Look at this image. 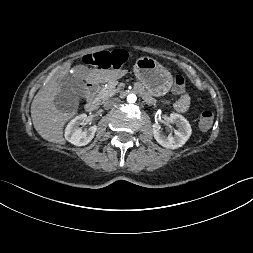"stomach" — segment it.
<instances>
[{"label":"stomach","instance_id":"1","mask_svg":"<svg viewBox=\"0 0 253 253\" xmlns=\"http://www.w3.org/2000/svg\"><path fill=\"white\" fill-rule=\"evenodd\" d=\"M134 72L140 85L149 96H165L174 84L169 69L149 57L138 59L134 66Z\"/></svg>","mask_w":253,"mask_h":253}]
</instances>
